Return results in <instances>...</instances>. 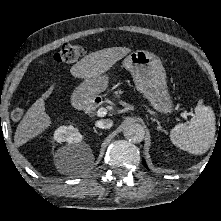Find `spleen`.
<instances>
[{
  "label": "spleen",
  "mask_w": 221,
  "mask_h": 221,
  "mask_svg": "<svg viewBox=\"0 0 221 221\" xmlns=\"http://www.w3.org/2000/svg\"><path fill=\"white\" fill-rule=\"evenodd\" d=\"M215 124L213 109L210 106L202 105V101H200L189 125L177 124L170 131V140L176 147L191 154H203L214 141Z\"/></svg>",
  "instance_id": "3e777b00"
}]
</instances>
